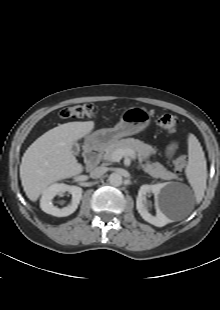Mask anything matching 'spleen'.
<instances>
[{
    "label": "spleen",
    "instance_id": "3e777b00",
    "mask_svg": "<svg viewBox=\"0 0 220 310\" xmlns=\"http://www.w3.org/2000/svg\"><path fill=\"white\" fill-rule=\"evenodd\" d=\"M188 155L189 161L185 174L194 191L196 202L199 203L206 189L207 166L200 142L193 134L188 137Z\"/></svg>",
    "mask_w": 220,
    "mask_h": 310
}]
</instances>
